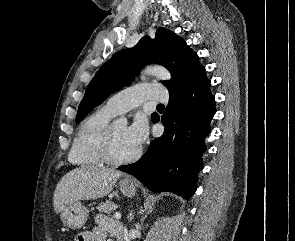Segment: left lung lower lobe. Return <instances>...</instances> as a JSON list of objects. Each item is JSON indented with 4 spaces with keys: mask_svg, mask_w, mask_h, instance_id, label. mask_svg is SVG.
I'll return each mask as SVG.
<instances>
[{
    "mask_svg": "<svg viewBox=\"0 0 295 241\" xmlns=\"http://www.w3.org/2000/svg\"><path fill=\"white\" fill-rule=\"evenodd\" d=\"M211 82L205 71L182 90L169 93L162 115L164 134L154 139L136 163L118 169L134 175L154 192H172L189 199L196 190L197 174L203 169L202 154L215 110ZM160 117L155 116L154 122Z\"/></svg>",
    "mask_w": 295,
    "mask_h": 241,
    "instance_id": "0a47b994",
    "label": "left lung lower lobe"
}]
</instances>
